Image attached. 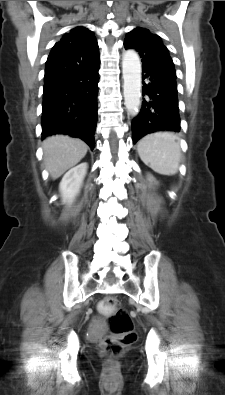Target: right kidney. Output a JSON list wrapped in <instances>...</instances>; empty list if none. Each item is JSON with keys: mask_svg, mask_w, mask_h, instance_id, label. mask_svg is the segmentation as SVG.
Here are the masks:
<instances>
[{"mask_svg": "<svg viewBox=\"0 0 225 395\" xmlns=\"http://www.w3.org/2000/svg\"><path fill=\"white\" fill-rule=\"evenodd\" d=\"M87 172V163H81L70 169L60 182V192L62 194V202L70 204L79 193L84 177Z\"/></svg>", "mask_w": 225, "mask_h": 395, "instance_id": "right-kidney-1", "label": "right kidney"}]
</instances>
